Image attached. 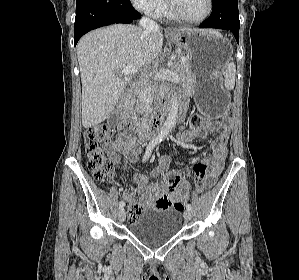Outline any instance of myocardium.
Listing matches in <instances>:
<instances>
[{"instance_id": "myocardium-1", "label": "myocardium", "mask_w": 299, "mask_h": 280, "mask_svg": "<svg viewBox=\"0 0 299 280\" xmlns=\"http://www.w3.org/2000/svg\"><path fill=\"white\" fill-rule=\"evenodd\" d=\"M166 5L167 8L169 10V12L171 13V15L181 21L187 22V23H191V24H199L202 23L203 21H205L211 14L212 12V8H213V1L212 0H207V10L205 12V14L197 19H191L186 17L185 15H183L178 8L175 6L174 1L173 0H166Z\"/></svg>"}]
</instances>
